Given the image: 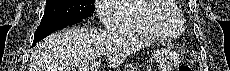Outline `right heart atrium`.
I'll use <instances>...</instances> for the list:
<instances>
[{
	"label": "right heart atrium",
	"mask_w": 230,
	"mask_h": 71,
	"mask_svg": "<svg viewBox=\"0 0 230 71\" xmlns=\"http://www.w3.org/2000/svg\"><path fill=\"white\" fill-rule=\"evenodd\" d=\"M125 2V0H98L96 1V13L100 22L107 28L113 29L115 23L121 18L114 11V7Z\"/></svg>",
	"instance_id": "1"
}]
</instances>
